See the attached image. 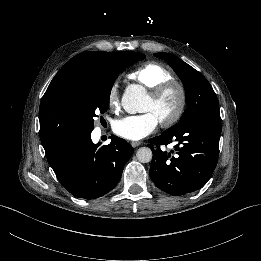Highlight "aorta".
Here are the masks:
<instances>
[{
  "mask_svg": "<svg viewBox=\"0 0 261 261\" xmlns=\"http://www.w3.org/2000/svg\"><path fill=\"white\" fill-rule=\"evenodd\" d=\"M124 96L128 99L129 106L126 109L130 113H143L148 110L151 104V98L145 94V88L138 86L132 87L130 91L126 90ZM153 153L149 147H141L137 150L136 158L141 163H148L152 160Z\"/></svg>",
  "mask_w": 261,
  "mask_h": 261,
  "instance_id": "aorta-1",
  "label": "aorta"
}]
</instances>
